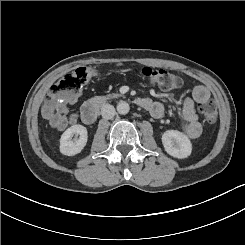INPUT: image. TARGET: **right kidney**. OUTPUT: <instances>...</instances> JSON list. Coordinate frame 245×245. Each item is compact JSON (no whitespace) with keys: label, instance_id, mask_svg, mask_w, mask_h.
I'll return each instance as SVG.
<instances>
[{"label":"right kidney","instance_id":"ca27d5eb","mask_svg":"<svg viewBox=\"0 0 245 245\" xmlns=\"http://www.w3.org/2000/svg\"><path fill=\"white\" fill-rule=\"evenodd\" d=\"M77 135H80L77 139ZM64 156H75L79 154L86 146L88 141V131L83 125L76 124L64 131ZM74 137L75 142L72 141Z\"/></svg>","mask_w":245,"mask_h":245}]
</instances>
